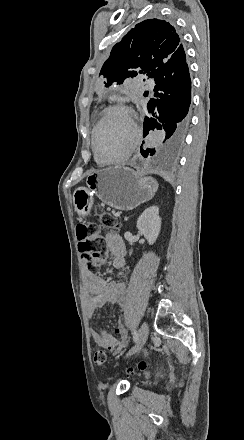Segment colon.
<instances>
[{"label": "colon", "mask_w": 244, "mask_h": 440, "mask_svg": "<svg viewBox=\"0 0 244 440\" xmlns=\"http://www.w3.org/2000/svg\"><path fill=\"white\" fill-rule=\"evenodd\" d=\"M96 220L92 223L79 224L76 228V238L78 240L79 252L87 258L88 269L95 272L107 259V242L102 234L105 228L120 229L121 224L116 220L115 215L104 213L96 208ZM92 362L97 367L106 365L107 358L105 352L100 348L93 350ZM147 368L145 362H140L137 370L144 372ZM135 369L129 368L132 373Z\"/></svg>", "instance_id": "obj_1"}]
</instances>
